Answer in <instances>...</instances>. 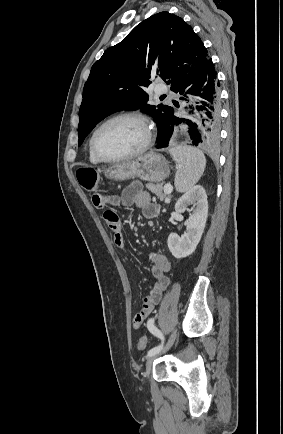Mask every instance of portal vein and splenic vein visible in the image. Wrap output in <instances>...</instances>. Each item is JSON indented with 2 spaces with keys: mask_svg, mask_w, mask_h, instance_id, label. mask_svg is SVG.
I'll list each match as a JSON object with an SVG mask.
<instances>
[{
  "mask_svg": "<svg viewBox=\"0 0 283 434\" xmlns=\"http://www.w3.org/2000/svg\"><path fill=\"white\" fill-rule=\"evenodd\" d=\"M173 188L170 184H166L164 186V193L165 194H170L172 192ZM166 202H169L168 200H166Z\"/></svg>",
  "mask_w": 283,
  "mask_h": 434,
  "instance_id": "18ae733b",
  "label": "portal vein and splenic vein"
}]
</instances>
